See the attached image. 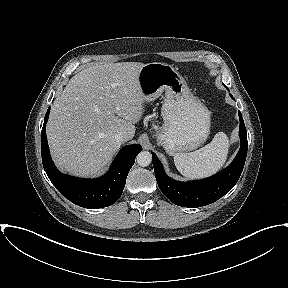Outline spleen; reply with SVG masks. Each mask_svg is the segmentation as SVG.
<instances>
[{"mask_svg":"<svg viewBox=\"0 0 288 288\" xmlns=\"http://www.w3.org/2000/svg\"><path fill=\"white\" fill-rule=\"evenodd\" d=\"M229 140L224 132L215 134L206 146L190 153H177L174 163L177 170L187 178H203L217 172L225 163Z\"/></svg>","mask_w":288,"mask_h":288,"instance_id":"3e777b00","label":"spleen"}]
</instances>
